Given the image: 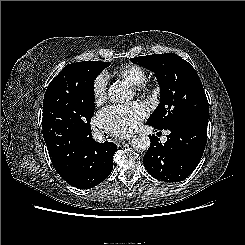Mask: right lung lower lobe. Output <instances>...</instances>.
<instances>
[{
	"mask_svg": "<svg viewBox=\"0 0 245 245\" xmlns=\"http://www.w3.org/2000/svg\"><path fill=\"white\" fill-rule=\"evenodd\" d=\"M44 140L53 167L76 188H92L112 171L113 155L117 150L113 142L98 143L91 132H69Z\"/></svg>",
	"mask_w": 245,
	"mask_h": 245,
	"instance_id": "1",
	"label": "right lung lower lobe"
}]
</instances>
